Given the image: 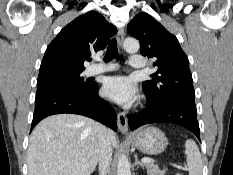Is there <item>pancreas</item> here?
Returning a JSON list of instances; mask_svg holds the SVG:
<instances>
[{
	"instance_id": "obj_1",
	"label": "pancreas",
	"mask_w": 233,
	"mask_h": 175,
	"mask_svg": "<svg viewBox=\"0 0 233 175\" xmlns=\"http://www.w3.org/2000/svg\"><path fill=\"white\" fill-rule=\"evenodd\" d=\"M148 175H165L166 169L161 170L157 165L153 163H147L146 165Z\"/></svg>"
}]
</instances>
